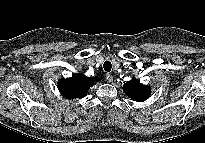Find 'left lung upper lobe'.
<instances>
[{
	"mask_svg": "<svg viewBox=\"0 0 205 143\" xmlns=\"http://www.w3.org/2000/svg\"><path fill=\"white\" fill-rule=\"evenodd\" d=\"M123 90L129 98L138 102L148 99L151 93L150 87L140 84L135 78L124 83Z\"/></svg>",
	"mask_w": 205,
	"mask_h": 143,
	"instance_id": "obj_1",
	"label": "left lung upper lobe"
}]
</instances>
